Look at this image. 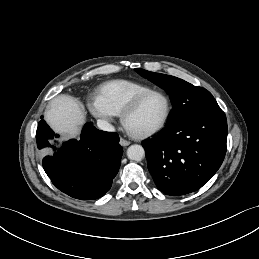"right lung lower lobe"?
Masks as SVG:
<instances>
[{
  "label": "right lung lower lobe",
  "instance_id": "obj_1",
  "mask_svg": "<svg viewBox=\"0 0 259 259\" xmlns=\"http://www.w3.org/2000/svg\"><path fill=\"white\" fill-rule=\"evenodd\" d=\"M54 132L42 119L36 141L39 149L50 146ZM123 149L117 133L96 129L85 124L81 140L68 141L54 156L43 159V168L52 183L67 195L81 200L102 197L118 173Z\"/></svg>",
  "mask_w": 259,
  "mask_h": 259
}]
</instances>
